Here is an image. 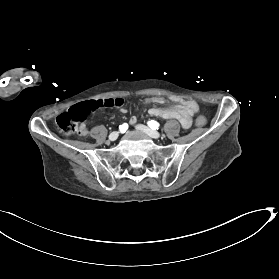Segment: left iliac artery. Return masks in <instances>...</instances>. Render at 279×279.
<instances>
[{
  "label": "left iliac artery",
  "mask_w": 279,
  "mask_h": 279,
  "mask_svg": "<svg viewBox=\"0 0 279 279\" xmlns=\"http://www.w3.org/2000/svg\"><path fill=\"white\" fill-rule=\"evenodd\" d=\"M147 125H148L151 129H153V130L158 129L159 126H160L159 123L156 122V121H154V120L148 121V122H147Z\"/></svg>",
  "instance_id": "44dca946"
}]
</instances>
